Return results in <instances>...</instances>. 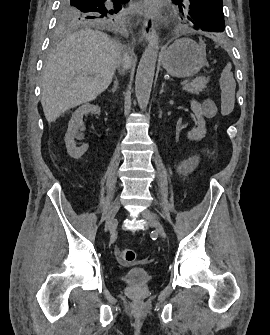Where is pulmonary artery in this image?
Returning a JSON list of instances; mask_svg holds the SVG:
<instances>
[{
	"label": "pulmonary artery",
	"mask_w": 270,
	"mask_h": 335,
	"mask_svg": "<svg viewBox=\"0 0 270 335\" xmlns=\"http://www.w3.org/2000/svg\"><path fill=\"white\" fill-rule=\"evenodd\" d=\"M185 3H189V0H185Z\"/></svg>",
	"instance_id": "obj_1"
}]
</instances>
